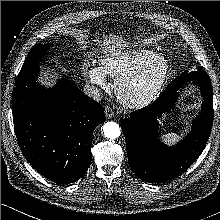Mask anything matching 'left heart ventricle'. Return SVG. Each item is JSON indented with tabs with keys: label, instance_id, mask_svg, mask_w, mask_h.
Listing matches in <instances>:
<instances>
[{
	"label": "left heart ventricle",
	"instance_id": "obj_1",
	"mask_svg": "<svg viewBox=\"0 0 220 220\" xmlns=\"http://www.w3.org/2000/svg\"><path fill=\"white\" fill-rule=\"evenodd\" d=\"M158 67V63H153L142 78L134 81L129 85L127 89L128 94L134 97L140 95L146 89L147 85L151 82L154 73L158 70Z\"/></svg>",
	"mask_w": 220,
	"mask_h": 220
}]
</instances>
